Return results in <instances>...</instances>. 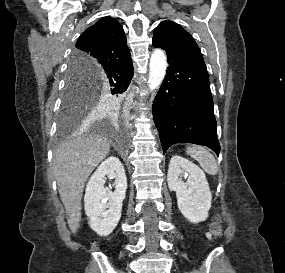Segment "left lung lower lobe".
<instances>
[{
  "mask_svg": "<svg viewBox=\"0 0 285 273\" xmlns=\"http://www.w3.org/2000/svg\"><path fill=\"white\" fill-rule=\"evenodd\" d=\"M152 43L166 50L169 63L152 108L163 152L175 143H194L219 155L214 105L203 58L164 37H153Z\"/></svg>",
  "mask_w": 285,
  "mask_h": 273,
  "instance_id": "0a47b994",
  "label": "left lung lower lobe"
}]
</instances>
